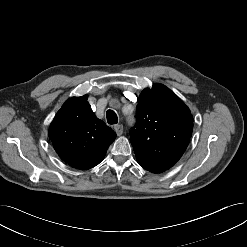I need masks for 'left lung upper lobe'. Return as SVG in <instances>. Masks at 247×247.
Listing matches in <instances>:
<instances>
[{
    "label": "left lung upper lobe",
    "mask_w": 247,
    "mask_h": 247,
    "mask_svg": "<svg viewBox=\"0 0 247 247\" xmlns=\"http://www.w3.org/2000/svg\"><path fill=\"white\" fill-rule=\"evenodd\" d=\"M137 124L130 142L141 167L161 173L183 155L192 135L193 116L184 102L162 84L138 98Z\"/></svg>",
    "instance_id": "5c2ea615"
}]
</instances>
